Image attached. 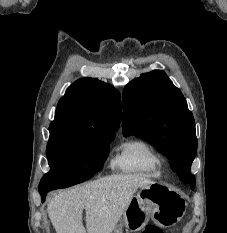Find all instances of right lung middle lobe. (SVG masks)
Here are the masks:
<instances>
[{"label":"right lung middle lobe","instance_id":"1","mask_svg":"<svg viewBox=\"0 0 227 233\" xmlns=\"http://www.w3.org/2000/svg\"><path fill=\"white\" fill-rule=\"evenodd\" d=\"M115 133L93 137L50 134L47 159L50 171L40 181V191H51L81 183L103 167Z\"/></svg>","mask_w":227,"mask_h":233}]
</instances>
